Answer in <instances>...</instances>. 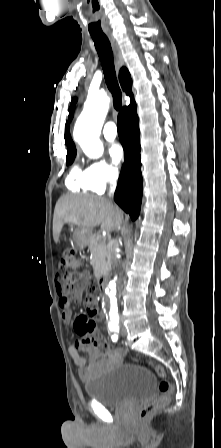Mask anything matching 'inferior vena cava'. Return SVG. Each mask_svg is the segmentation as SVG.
<instances>
[{
  "label": "inferior vena cava",
  "mask_w": 221,
  "mask_h": 448,
  "mask_svg": "<svg viewBox=\"0 0 221 448\" xmlns=\"http://www.w3.org/2000/svg\"><path fill=\"white\" fill-rule=\"evenodd\" d=\"M117 177H118V175H117L116 172H112L111 175H110V177H109V181H110V183H111V190H110V192H109V194H108L109 197H112V196H113L114 189H115V187H116V180H117ZM115 248H118V245H116ZM116 254H117V252H116L115 250H113V251H112V262H113L114 267L118 265V260H117V258L115 257ZM119 283H121V278L119 279Z\"/></svg>",
  "instance_id": "inferior-vena-cava-1"
}]
</instances>
